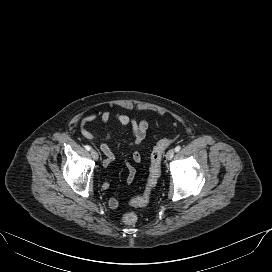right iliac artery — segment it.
<instances>
[{"label": "right iliac artery", "instance_id": "right-iliac-artery-1", "mask_svg": "<svg viewBox=\"0 0 272 272\" xmlns=\"http://www.w3.org/2000/svg\"><path fill=\"white\" fill-rule=\"evenodd\" d=\"M85 149H86L87 151H90V150H91V147H90L89 145H86V146H85Z\"/></svg>", "mask_w": 272, "mask_h": 272}]
</instances>
